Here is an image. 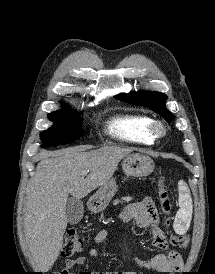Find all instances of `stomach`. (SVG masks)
Returning a JSON list of instances; mask_svg holds the SVG:
<instances>
[{"label":"stomach","instance_id":"0dacf381","mask_svg":"<svg viewBox=\"0 0 215 274\" xmlns=\"http://www.w3.org/2000/svg\"><path fill=\"white\" fill-rule=\"evenodd\" d=\"M122 169L128 177H145L154 170L153 160L143 154H131L124 158ZM117 192V184L115 179H111L91 197L90 209L93 212H99L106 208L110 200Z\"/></svg>","mask_w":215,"mask_h":274}]
</instances>
